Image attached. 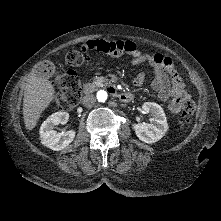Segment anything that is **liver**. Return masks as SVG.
Returning <instances> with one entry per match:
<instances>
[{"mask_svg": "<svg viewBox=\"0 0 221 221\" xmlns=\"http://www.w3.org/2000/svg\"><path fill=\"white\" fill-rule=\"evenodd\" d=\"M55 97V89L51 82L29 74L24 87L23 117L28 130H33L41 113Z\"/></svg>", "mask_w": 221, "mask_h": 221, "instance_id": "1", "label": "liver"}]
</instances>
